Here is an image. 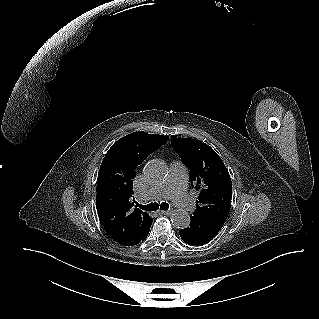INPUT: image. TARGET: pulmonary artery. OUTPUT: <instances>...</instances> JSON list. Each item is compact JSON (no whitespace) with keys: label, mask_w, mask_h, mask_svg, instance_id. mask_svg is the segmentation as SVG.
<instances>
[{"label":"pulmonary artery","mask_w":319,"mask_h":319,"mask_svg":"<svg viewBox=\"0 0 319 319\" xmlns=\"http://www.w3.org/2000/svg\"><path fill=\"white\" fill-rule=\"evenodd\" d=\"M187 181L188 172L186 167L179 161H173L166 182L150 189L141 198V201L170 198L183 212H190L193 208V203L186 194Z\"/></svg>","instance_id":"obj_1"}]
</instances>
